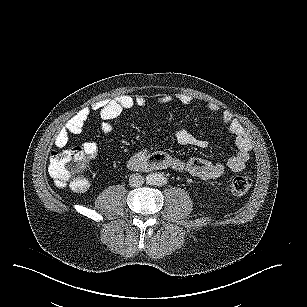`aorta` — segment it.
<instances>
[{"label":"aorta","instance_id":"aorta-1","mask_svg":"<svg viewBox=\"0 0 307 307\" xmlns=\"http://www.w3.org/2000/svg\"><path fill=\"white\" fill-rule=\"evenodd\" d=\"M151 185H160L163 182V177L160 173H153L148 177Z\"/></svg>","mask_w":307,"mask_h":307}]
</instances>
